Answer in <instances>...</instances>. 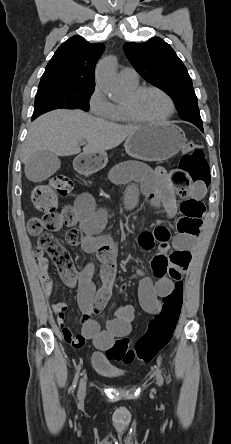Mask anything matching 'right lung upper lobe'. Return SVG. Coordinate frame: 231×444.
<instances>
[{
  "label": "right lung upper lobe",
  "mask_w": 231,
  "mask_h": 444,
  "mask_svg": "<svg viewBox=\"0 0 231 444\" xmlns=\"http://www.w3.org/2000/svg\"><path fill=\"white\" fill-rule=\"evenodd\" d=\"M104 48V44H91L81 36L69 38L47 64L38 88L94 87V68Z\"/></svg>",
  "instance_id": "right-lung-upper-lobe-1"
}]
</instances>
